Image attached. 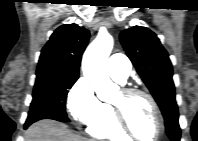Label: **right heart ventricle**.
<instances>
[{"label":"right heart ventricle","instance_id":"right-heart-ventricle-1","mask_svg":"<svg viewBox=\"0 0 198 141\" xmlns=\"http://www.w3.org/2000/svg\"><path fill=\"white\" fill-rule=\"evenodd\" d=\"M87 130L91 136L100 139L124 141L129 138L116 124L108 103H101L98 117L88 124Z\"/></svg>","mask_w":198,"mask_h":141}]
</instances>
